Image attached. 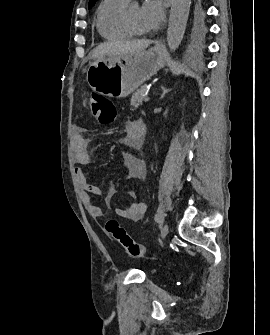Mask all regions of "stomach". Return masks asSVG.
I'll use <instances>...</instances> for the list:
<instances>
[{
  "instance_id": "obj_1",
  "label": "stomach",
  "mask_w": 270,
  "mask_h": 335,
  "mask_svg": "<svg viewBox=\"0 0 270 335\" xmlns=\"http://www.w3.org/2000/svg\"><path fill=\"white\" fill-rule=\"evenodd\" d=\"M165 52L161 46L135 54L95 60L87 70L90 88L108 98H126L160 68H164Z\"/></svg>"
}]
</instances>
